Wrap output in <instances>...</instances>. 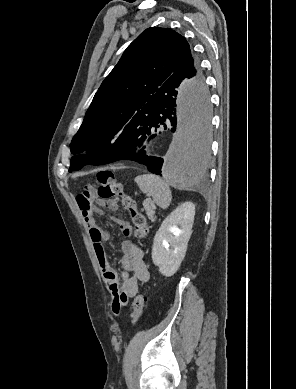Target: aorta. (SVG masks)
I'll return each instance as SVG.
<instances>
[{
	"label": "aorta",
	"mask_w": 296,
	"mask_h": 389,
	"mask_svg": "<svg viewBox=\"0 0 296 389\" xmlns=\"http://www.w3.org/2000/svg\"><path fill=\"white\" fill-rule=\"evenodd\" d=\"M178 129L163 173L180 189H193L212 160L211 92L207 81H180L176 92Z\"/></svg>",
	"instance_id": "obj_1"
}]
</instances>
